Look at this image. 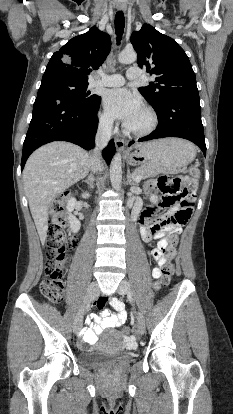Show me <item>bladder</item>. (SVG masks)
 <instances>
[{"mask_svg": "<svg viewBox=\"0 0 233 414\" xmlns=\"http://www.w3.org/2000/svg\"><path fill=\"white\" fill-rule=\"evenodd\" d=\"M80 362L87 366H98L111 360L128 361L130 355L123 352V338L119 331H111L104 342L91 351L79 356Z\"/></svg>", "mask_w": 233, "mask_h": 414, "instance_id": "31cf9c89", "label": "bladder"}]
</instances>
